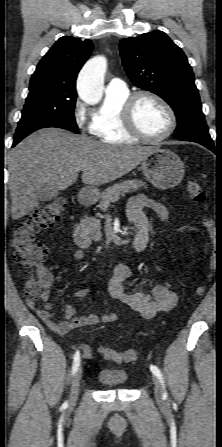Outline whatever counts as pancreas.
<instances>
[{"label":"pancreas","instance_id":"1","mask_svg":"<svg viewBox=\"0 0 222 447\" xmlns=\"http://www.w3.org/2000/svg\"><path fill=\"white\" fill-rule=\"evenodd\" d=\"M140 187L146 188V184L140 180L133 179L122 181L121 183L114 184L107 188L100 196L101 201L99 206L101 210H106L110 203L117 201L121 195L124 196L125 193L135 191ZM83 226L93 240H101L102 233L100 220L94 217H87L83 221Z\"/></svg>","mask_w":222,"mask_h":447}]
</instances>
